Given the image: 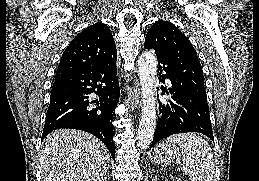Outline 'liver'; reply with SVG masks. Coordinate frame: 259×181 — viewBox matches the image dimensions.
Listing matches in <instances>:
<instances>
[{"label":"liver","instance_id":"obj_1","mask_svg":"<svg viewBox=\"0 0 259 181\" xmlns=\"http://www.w3.org/2000/svg\"><path fill=\"white\" fill-rule=\"evenodd\" d=\"M109 160L108 149L95 136L80 130H55L41 147L42 181H102Z\"/></svg>","mask_w":259,"mask_h":181}]
</instances>
